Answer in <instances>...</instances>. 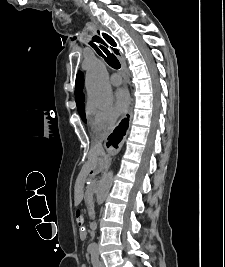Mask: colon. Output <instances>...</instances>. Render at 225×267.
<instances>
[{
    "instance_id": "1",
    "label": "colon",
    "mask_w": 225,
    "mask_h": 267,
    "mask_svg": "<svg viewBox=\"0 0 225 267\" xmlns=\"http://www.w3.org/2000/svg\"><path fill=\"white\" fill-rule=\"evenodd\" d=\"M75 220H76V223L79 227H82L83 226V223H84V217H83V214L80 212V211H77L75 213Z\"/></svg>"
}]
</instances>
